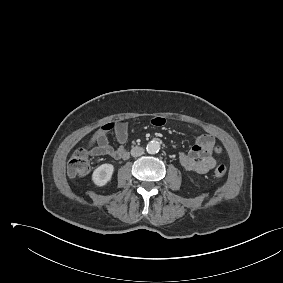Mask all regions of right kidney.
<instances>
[{
	"instance_id": "ca27d5eb",
	"label": "right kidney",
	"mask_w": 283,
	"mask_h": 283,
	"mask_svg": "<svg viewBox=\"0 0 283 283\" xmlns=\"http://www.w3.org/2000/svg\"><path fill=\"white\" fill-rule=\"evenodd\" d=\"M114 166L112 164H102L97 167L92 174V181L96 186H105L112 178Z\"/></svg>"
}]
</instances>
